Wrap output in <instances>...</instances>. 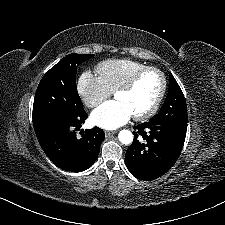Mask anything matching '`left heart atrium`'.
I'll return each instance as SVG.
<instances>
[{
	"label": "left heart atrium",
	"mask_w": 225,
	"mask_h": 225,
	"mask_svg": "<svg viewBox=\"0 0 225 225\" xmlns=\"http://www.w3.org/2000/svg\"><path fill=\"white\" fill-rule=\"evenodd\" d=\"M132 117L131 112L120 101L102 104L92 113V121L104 129H116L126 124Z\"/></svg>",
	"instance_id": "left-heart-atrium-1"
}]
</instances>
